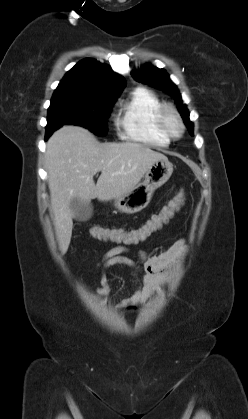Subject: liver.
Instances as JSON below:
<instances>
[{
	"instance_id": "liver-1",
	"label": "liver",
	"mask_w": 248,
	"mask_h": 419,
	"mask_svg": "<svg viewBox=\"0 0 248 419\" xmlns=\"http://www.w3.org/2000/svg\"><path fill=\"white\" fill-rule=\"evenodd\" d=\"M159 159L167 157L143 144H101L87 129L73 125L57 130L47 142L45 165L61 253L67 252L71 241L72 199L87 203L94 198H116L135 187ZM97 172L101 175L95 184L93 176Z\"/></svg>"
}]
</instances>
